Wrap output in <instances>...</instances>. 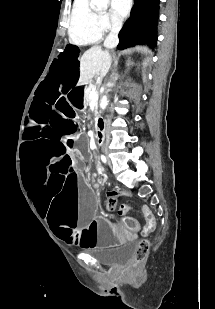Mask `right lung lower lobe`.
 <instances>
[{"mask_svg":"<svg viewBox=\"0 0 215 309\" xmlns=\"http://www.w3.org/2000/svg\"><path fill=\"white\" fill-rule=\"evenodd\" d=\"M160 0H134L131 16L119 33V49L138 43L155 45Z\"/></svg>","mask_w":215,"mask_h":309,"instance_id":"1","label":"right lung lower lobe"}]
</instances>
